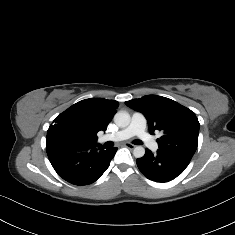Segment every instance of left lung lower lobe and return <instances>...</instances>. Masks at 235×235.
<instances>
[{
	"instance_id": "obj_1",
	"label": "left lung lower lobe",
	"mask_w": 235,
	"mask_h": 235,
	"mask_svg": "<svg viewBox=\"0 0 235 235\" xmlns=\"http://www.w3.org/2000/svg\"><path fill=\"white\" fill-rule=\"evenodd\" d=\"M191 159L158 150L153 154L146 149L145 155L136 160L139 170L150 180L168 182L179 176Z\"/></svg>"
}]
</instances>
